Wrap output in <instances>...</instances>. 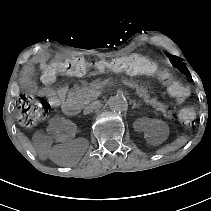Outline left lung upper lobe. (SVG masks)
Instances as JSON below:
<instances>
[{
  "label": "left lung upper lobe",
  "instance_id": "left-lung-upper-lobe-1",
  "mask_svg": "<svg viewBox=\"0 0 211 211\" xmlns=\"http://www.w3.org/2000/svg\"><path fill=\"white\" fill-rule=\"evenodd\" d=\"M170 61L173 66L177 67L181 72L185 73L187 76H190V72L185 66L184 63L176 56H170Z\"/></svg>",
  "mask_w": 211,
  "mask_h": 211
}]
</instances>
